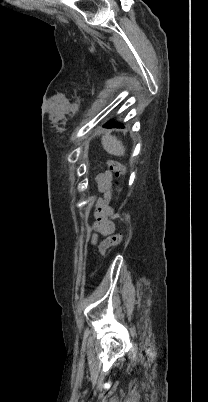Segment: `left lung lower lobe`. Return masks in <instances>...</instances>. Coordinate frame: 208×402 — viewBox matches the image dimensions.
<instances>
[{"label": "left lung lower lobe", "mask_w": 208, "mask_h": 402, "mask_svg": "<svg viewBox=\"0 0 208 402\" xmlns=\"http://www.w3.org/2000/svg\"><path fill=\"white\" fill-rule=\"evenodd\" d=\"M104 127H107V128H112V127H123V125L121 124H119V123H113V120H110L109 122H107L105 125H104Z\"/></svg>", "instance_id": "1"}]
</instances>
